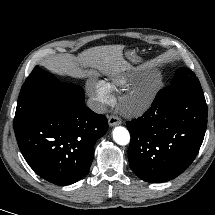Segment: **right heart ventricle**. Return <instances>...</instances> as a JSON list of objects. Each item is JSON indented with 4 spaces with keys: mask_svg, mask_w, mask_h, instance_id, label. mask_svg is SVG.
I'll list each match as a JSON object with an SVG mask.
<instances>
[{
    "mask_svg": "<svg viewBox=\"0 0 215 215\" xmlns=\"http://www.w3.org/2000/svg\"><path fill=\"white\" fill-rule=\"evenodd\" d=\"M121 85H122V83H121L120 81H118V80H114V81L109 82V83L107 84V86H108L110 89H115V88H117V87H120Z\"/></svg>",
    "mask_w": 215,
    "mask_h": 215,
    "instance_id": "e07e8e85",
    "label": "right heart ventricle"
}]
</instances>
